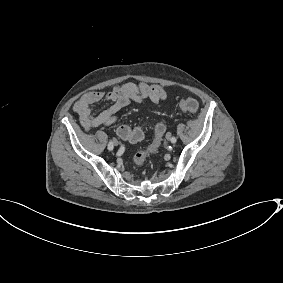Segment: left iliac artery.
Returning a JSON list of instances; mask_svg holds the SVG:
<instances>
[{
  "label": "left iliac artery",
  "instance_id": "1",
  "mask_svg": "<svg viewBox=\"0 0 283 283\" xmlns=\"http://www.w3.org/2000/svg\"><path fill=\"white\" fill-rule=\"evenodd\" d=\"M176 141H177V139L173 136V137H171V142L172 143H176Z\"/></svg>",
  "mask_w": 283,
  "mask_h": 283
}]
</instances>
